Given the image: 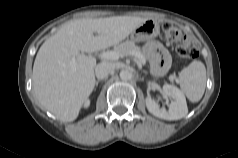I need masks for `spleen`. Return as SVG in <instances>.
Returning <instances> with one entry per match:
<instances>
[{
	"label": "spleen",
	"instance_id": "spleen-1",
	"mask_svg": "<svg viewBox=\"0 0 238 158\" xmlns=\"http://www.w3.org/2000/svg\"><path fill=\"white\" fill-rule=\"evenodd\" d=\"M182 91L191 102L201 100L206 87V68L200 61H193L179 73Z\"/></svg>",
	"mask_w": 238,
	"mask_h": 158
}]
</instances>
